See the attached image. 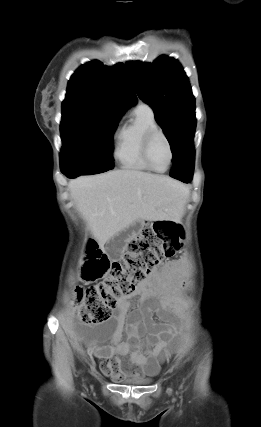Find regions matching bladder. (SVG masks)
<instances>
[{"instance_id":"bladder-1","label":"bladder","mask_w":261,"mask_h":427,"mask_svg":"<svg viewBox=\"0 0 261 427\" xmlns=\"http://www.w3.org/2000/svg\"><path fill=\"white\" fill-rule=\"evenodd\" d=\"M152 382V378L150 377H137L130 380H127L126 383L131 385L143 386L150 384Z\"/></svg>"}]
</instances>
